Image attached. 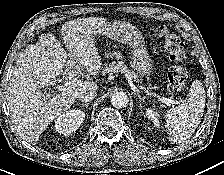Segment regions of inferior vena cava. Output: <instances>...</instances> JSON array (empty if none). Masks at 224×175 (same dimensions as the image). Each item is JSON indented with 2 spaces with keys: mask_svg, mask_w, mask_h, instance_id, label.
<instances>
[{
  "mask_svg": "<svg viewBox=\"0 0 224 175\" xmlns=\"http://www.w3.org/2000/svg\"><path fill=\"white\" fill-rule=\"evenodd\" d=\"M97 93L96 90H81L77 93V98L80 101L88 102L96 97Z\"/></svg>",
  "mask_w": 224,
  "mask_h": 175,
  "instance_id": "602c4592",
  "label": "inferior vena cava"
}]
</instances>
